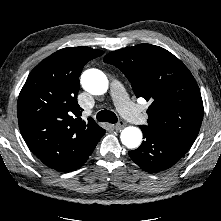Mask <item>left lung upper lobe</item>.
Wrapping results in <instances>:
<instances>
[{
	"label": "left lung upper lobe",
	"instance_id": "5c2ea615",
	"mask_svg": "<svg viewBox=\"0 0 221 221\" xmlns=\"http://www.w3.org/2000/svg\"><path fill=\"white\" fill-rule=\"evenodd\" d=\"M104 62L124 73L137 98L151 102L148 125L142 127L189 146L194 143L203 102L194 77L177 57L159 46L139 44L110 52Z\"/></svg>",
	"mask_w": 221,
	"mask_h": 221
}]
</instances>
